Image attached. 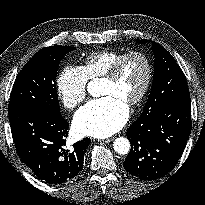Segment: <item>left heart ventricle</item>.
Segmentation results:
<instances>
[{"mask_svg": "<svg viewBox=\"0 0 205 205\" xmlns=\"http://www.w3.org/2000/svg\"><path fill=\"white\" fill-rule=\"evenodd\" d=\"M145 77V62L139 57H131L125 61L115 81L102 82L100 95L114 96L128 104L142 89Z\"/></svg>", "mask_w": 205, "mask_h": 205, "instance_id": "1", "label": "left heart ventricle"}]
</instances>
